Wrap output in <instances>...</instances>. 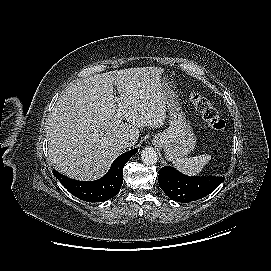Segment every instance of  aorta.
<instances>
[{
	"label": "aorta",
	"mask_w": 271,
	"mask_h": 271,
	"mask_svg": "<svg viewBox=\"0 0 271 271\" xmlns=\"http://www.w3.org/2000/svg\"><path fill=\"white\" fill-rule=\"evenodd\" d=\"M142 162L146 165H154L157 163L158 156L156 151L151 147H146L141 151Z\"/></svg>",
	"instance_id": "aorta-1"
}]
</instances>
